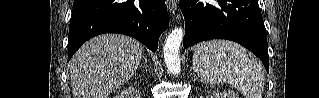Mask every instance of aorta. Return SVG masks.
Returning a JSON list of instances; mask_svg holds the SVG:
<instances>
[{
    "label": "aorta",
    "mask_w": 319,
    "mask_h": 98,
    "mask_svg": "<svg viewBox=\"0 0 319 98\" xmlns=\"http://www.w3.org/2000/svg\"><path fill=\"white\" fill-rule=\"evenodd\" d=\"M183 39V29H173L164 44V61L168 71L176 75L180 72L181 62L179 56V49Z\"/></svg>",
    "instance_id": "obj_1"
}]
</instances>
